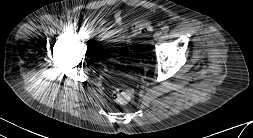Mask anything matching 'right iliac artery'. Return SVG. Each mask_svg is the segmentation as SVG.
<instances>
[{"instance_id": "obj_1", "label": "right iliac artery", "mask_w": 253, "mask_h": 138, "mask_svg": "<svg viewBox=\"0 0 253 138\" xmlns=\"http://www.w3.org/2000/svg\"><path fill=\"white\" fill-rule=\"evenodd\" d=\"M76 28H77V26H76L75 24H71V25H70V29H71L72 31H75Z\"/></svg>"}]
</instances>
